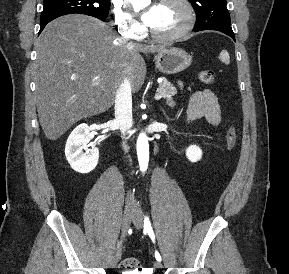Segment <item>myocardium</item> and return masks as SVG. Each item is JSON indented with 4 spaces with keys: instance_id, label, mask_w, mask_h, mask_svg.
<instances>
[{
    "instance_id": "1",
    "label": "myocardium",
    "mask_w": 289,
    "mask_h": 274,
    "mask_svg": "<svg viewBox=\"0 0 289 274\" xmlns=\"http://www.w3.org/2000/svg\"><path fill=\"white\" fill-rule=\"evenodd\" d=\"M172 1L178 2L184 7L185 13H186L185 23L177 31L172 32V33H167V34L159 33L153 30L151 27H149L148 32L155 39H158L161 41L178 40L186 36L194 27V24L196 21V11L192 2L190 0H160L159 3L164 4V3H168Z\"/></svg>"
}]
</instances>
